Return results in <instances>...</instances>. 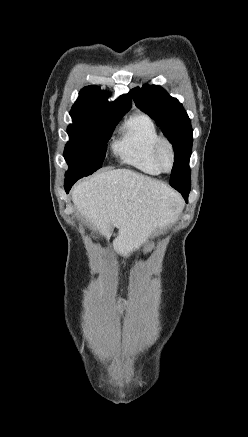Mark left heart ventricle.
Returning <instances> with one entry per match:
<instances>
[{
    "mask_svg": "<svg viewBox=\"0 0 248 437\" xmlns=\"http://www.w3.org/2000/svg\"><path fill=\"white\" fill-rule=\"evenodd\" d=\"M163 160L165 165H169V155L167 153L164 154Z\"/></svg>",
    "mask_w": 248,
    "mask_h": 437,
    "instance_id": "left-heart-ventricle-1",
    "label": "left heart ventricle"
}]
</instances>
